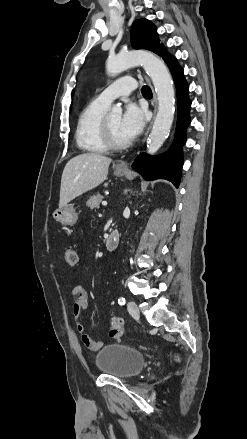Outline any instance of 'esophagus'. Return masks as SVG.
Segmentation results:
<instances>
[{
    "label": "esophagus",
    "mask_w": 247,
    "mask_h": 439,
    "mask_svg": "<svg viewBox=\"0 0 247 439\" xmlns=\"http://www.w3.org/2000/svg\"><path fill=\"white\" fill-rule=\"evenodd\" d=\"M152 105L154 106V115H155V113H156V109H157V101H156V96H155V93H154V91H153V99H152ZM149 129H150V127L148 128V130H147V132H146V134H145V137H144V139H143V141L145 140V138H146V136H147V134H148V132H149ZM128 166H129V163L127 162V161H120L118 164H117V168L118 169H128Z\"/></svg>",
    "instance_id": "obj_1"
}]
</instances>
